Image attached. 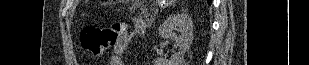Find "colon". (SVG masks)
Wrapping results in <instances>:
<instances>
[{
  "label": "colon",
  "mask_w": 309,
  "mask_h": 65,
  "mask_svg": "<svg viewBox=\"0 0 309 65\" xmlns=\"http://www.w3.org/2000/svg\"><path fill=\"white\" fill-rule=\"evenodd\" d=\"M125 29V25L121 23L85 27L80 32L81 46L93 56H98L115 45Z\"/></svg>",
  "instance_id": "1"
}]
</instances>
